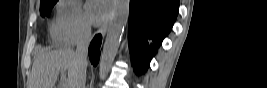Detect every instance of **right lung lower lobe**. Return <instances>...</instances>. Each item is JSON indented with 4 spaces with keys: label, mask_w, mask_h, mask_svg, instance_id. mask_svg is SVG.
Instances as JSON below:
<instances>
[{
    "label": "right lung lower lobe",
    "mask_w": 267,
    "mask_h": 88,
    "mask_svg": "<svg viewBox=\"0 0 267 88\" xmlns=\"http://www.w3.org/2000/svg\"><path fill=\"white\" fill-rule=\"evenodd\" d=\"M101 41V35H96L89 46V58L94 66L99 62Z\"/></svg>",
    "instance_id": "1"
}]
</instances>
